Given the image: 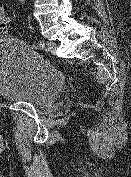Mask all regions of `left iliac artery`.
<instances>
[{"mask_svg":"<svg viewBox=\"0 0 131 177\" xmlns=\"http://www.w3.org/2000/svg\"><path fill=\"white\" fill-rule=\"evenodd\" d=\"M37 47H38V49L42 50V49L45 48V44H44L42 41H40V42L38 43Z\"/></svg>","mask_w":131,"mask_h":177,"instance_id":"left-iliac-artery-1","label":"left iliac artery"}]
</instances>
